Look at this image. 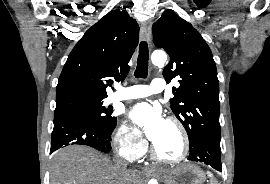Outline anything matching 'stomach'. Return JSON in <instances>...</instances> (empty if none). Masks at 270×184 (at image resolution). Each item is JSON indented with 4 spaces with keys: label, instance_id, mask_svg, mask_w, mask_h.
<instances>
[{
    "label": "stomach",
    "instance_id": "stomach-1",
    "mask_svg": "<svg viewBox=\"0 0 270 184\" xmlns=\"http://www.w3.org/2000/svg\"><path fill=\"white\" fill-rule=\"evenodd\" d=\"M166 184H203L205 175L192 163H184L164 172Z\"/></svg>",
    "mask_w": 270,
    "mask_h": 184
}]
</instances>
